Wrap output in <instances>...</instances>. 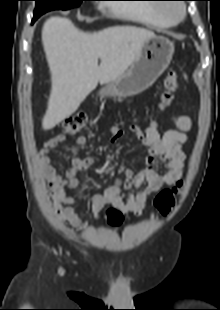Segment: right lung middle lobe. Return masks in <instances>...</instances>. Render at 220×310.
<instances>
[{"mask_svg":"<svg viewBox=\"0 0 220 310\" xmlns=\"http://www.w3.org/2000/svg\"><path fill=\"white\" fill-rule=\"evenodd\" d=\"M36 7L34 16L40 17L42 14L55 9L67 10L80 5L86 0H35Z\"/></svg>","mask_w":220,"mask_h":310,"instance_id":"right-lung-middle-lobe-1","label":"right lung middle lobe"}]
</instances>
